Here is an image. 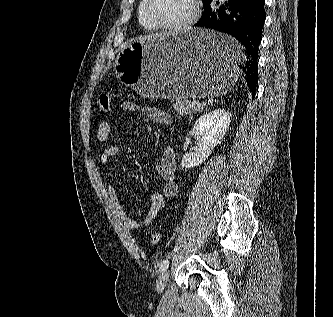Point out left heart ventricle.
<instances>
[{
	"mask_svg": "<svg viewBox=\"0 0 333 317\" xmlns=\"http://www.w3.org/2000/svg\"><path fill=\"white\" fill-rule=\"evenodd\" d=\"M149 11L160 23L178 24L189 16L191 3L190 0H151Z\"/></svg>",
	"mask_w": 333,
	"mask_h": 317,
	"instance_id": "b2bd125f",
	"label": "left heart ventricle"
}]
</instances>
